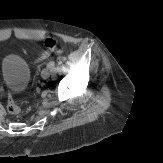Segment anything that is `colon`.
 Segmentation results:
<instances>
[{
  "label": "colon",
  "instance_id": "5ec220e1",
  "mask_svg": "<svg viewBox=\"0 0 163 163\" xmlns=\"http://www.w3.org/2000/svg\"><path fill=\"white\" fill-rule=\"evenodd\" d=\"M45 51L43 52L41 59H46L50 56V54L55 50L58 45V40L53 37H49L45 40ZM7 110L12 115H18L21 112V108L16 100L9 95L7 102Z\"/></svg>",
  "mask_w": 163,
  "mask_h": 163
}]
</instances>
